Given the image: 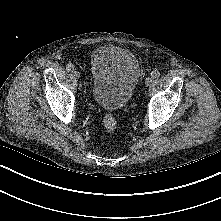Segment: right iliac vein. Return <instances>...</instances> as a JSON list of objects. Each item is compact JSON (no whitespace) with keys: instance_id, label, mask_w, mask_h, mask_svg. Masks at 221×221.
Returning a JSON list of instances; mask_svg holds the SVG:
<instances>
[{"instance_id":"obj_1","label":"right iliac vein","mask_w":221,"mask_h":221,"mask_svg":"<svg viewBox=\"0 0 221 221\" xmlns=\"http://www.w3.org/2000/svg\"><path fill=\"white\" fill-rule=\"evenodd\" d=\"M73 75L76 79H79L81 77L80 72L77 70L73 71Z\"/></svg>"}]
</instances>
